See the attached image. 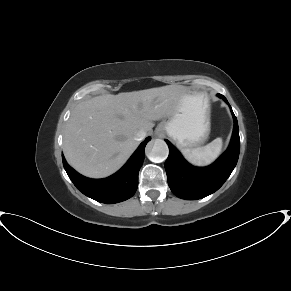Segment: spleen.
Masks as SVG:
<instances>
[{
    "mask_svg": "<svg viewBox=\"0 0 291 291\" xmlns=\"http://www.w3.org/2000/svg\"><path fill=\"white\" fill-rule=\"evenodd\" d=\"M222 145V138L218 137L203 147L184 148L182 154L188 162L195 166H207L220 155Z\"/></svg>",
    "mask_w": 291,
    "mask_h": 291,
    "instance_id": "1",
    "label": "spleen"
}]
</instances>
